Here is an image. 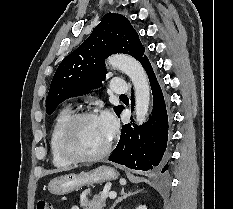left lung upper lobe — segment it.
Segmentation results:
<instances>
[{
	"mask_svg": "<svg viewBox=\"0 0 233 209\" xmlns=\"http://www.w3.org/2000/svg\"><path fill=\"white\" fill-rule=\"evenodd\" d=\"M144 51L130 21L123 15L107 13L91 35L58 66L46 100L47 114L67 98L100 87L107 72L104 60L111 54H128L140 62ZM122 108L115 106V113L118 115Z\"/></svg>",
	"mask_w": 233,
	"mask_h": 209,
	"instance_id": "obj_1",
	"label": "left lung upper lobe"
}]
</instances>
